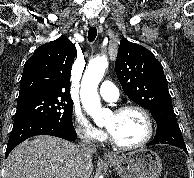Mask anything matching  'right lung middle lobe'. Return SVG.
<instances>
[{"label":"right lung middle lobe","mask_w":194,"mask_h":178,"mask_svg":"<svg viewBox=\"0 0 194 178\" xmlns=\"http://www.w3.org/2000/svg\"><path fill=\"white\" fill-rule=\"evenodd\" d=\"M73 101L68 96L33 97L18 100L14 122L43 119L56 124L72 123Z\"/></svg>","instance_id":"right-lung-middle-lobe-1"}]
</instances>
